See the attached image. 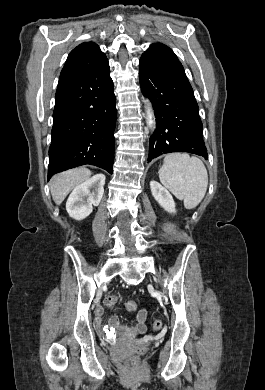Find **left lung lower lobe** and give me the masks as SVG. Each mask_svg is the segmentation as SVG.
Here are the masks:
<instances>
[{"label":"left lung lower lobe","instance_id":"1","mask_svg":"<svg viewBox=\"0 0 265 390\" xmlns=\"http://www.w3.org/2000/svg\"><path fill=\"white\" fill-rule=\"evenodd\" d=\"M139 80L153 105L156 130L150 137L148 162L167 153L187 152L208 158L193 89L179 60L143 54Z\"/></svg>","mask_w":265,"mask_h":390}]
</instances>
